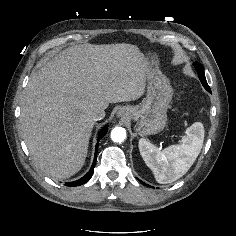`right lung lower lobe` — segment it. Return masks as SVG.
<instances>
[{
  "mask_svg": "<svg viewBox=\"0 0 236 236\" xmlns=\"http://www.w3.org/2000/svg\"><path fill=\"white\" fill-rule=\"evenodd\" d=\"M106 133H107V126L104 127V128L100 131L99 136H98V141H99ZM97 150H98V143L96 144L94 161H93V164H92L91 169L89 170V172H88L84 177H82L81 179H79V180H77V181H74V182H67V183H66V186H70V187L79 186V185L84 184L85 182H87V181L91 178V176H92V174H93V171H94L95 163H96Z\"/></svg>",
  "mask_w": 236,
  "mask_h": 236,
  "instance_id": "98d812e1",
  "label": "right lung lower lobe"
}]
</instances>
